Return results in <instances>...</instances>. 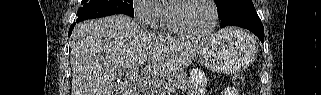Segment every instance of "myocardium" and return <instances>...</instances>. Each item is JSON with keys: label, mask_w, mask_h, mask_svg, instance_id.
Wrapping results in <instances>:
<instances>
[{"label": "myocardium", "mask_w": 321, "mask_h": 95, "mask_svg": "<svg viewBox=\"0 0 321 95\" xmlns=\"http://www.w3.org/2000/svg\"><path fill=\"white\" fill-rule=\"evenodd\" d=\"M191 0H172L171 4L167 10V23L170 29L178 34L186 35V36H205L214 31L218 24V9L214 0H206L212 7L213 18L211 25L203 31L193 30L182 25L177 19V12L180 6Z\"/></svg>", "instance_id": "1"}]
</instances>
